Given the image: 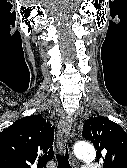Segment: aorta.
Returning <instances> with one entry per match:
<instances>
[{
	"label": "aorta",
	"mask_w": 127,
	"mask_h": 168,
	"mask_svg": "<svg viewBox=\"0 0 127 168\" xmlns=\"http://www.w3.org/2000/svg\"><path fill=\"white\" fill-rule=\"evenodd\" d=\"M74 153L77 158L85 161L91 162L96 157V152L94 147L88 142H79L74 147Z\"/></svg>",
	"instance_id": "762f6f07"
}]
</instances>
